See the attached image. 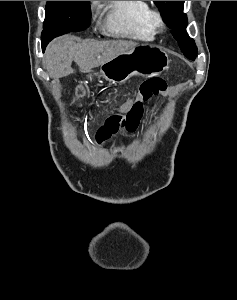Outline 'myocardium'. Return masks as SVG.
Segmentation results:
<instances>
[{
    "mask_svg": "<svg viewBox=\"0 0 237 300\" xmlns=\"http://www.w3.org/2000/svg\"><path fill=\"white\" fill-rule=\"evenodd\" d=\"M147 21L153 32L160 33L165 30V22L161 12L158 9H149Z\"/></svg>",
    "mask_w": 237,
    "mask_h": 300,
    "instance_id": "obj_1",
    "label": "myocardium"
}]
</instances>
